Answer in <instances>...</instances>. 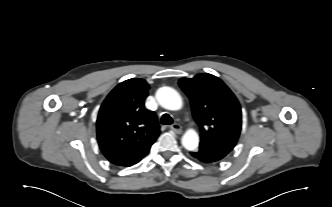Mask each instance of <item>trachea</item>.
Instances as JSON below:
<instances>
[{
	"label": "trachea",
	"mask_w": 332,
	"mask_h": 207,
	"mask_svg": "<svg viewBox=\"0 0 332 207\" xmlns=\"http://www.w3.org/2000/svg\"><path fill=\"white\" fill-rule=\"evenodd\" d=\"M173 123V119L169 114H163L161 117V124L163 125H170Z\"/></svg>",
	"instance_id": "obj_1"
}]
</instances>
